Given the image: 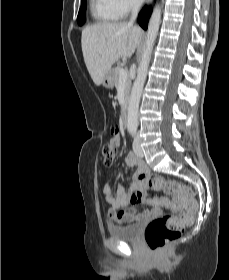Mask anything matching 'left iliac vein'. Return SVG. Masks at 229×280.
<instances>
[{
	"label": "left iliac vein",
	"instance_id": "1",
	"mask_svg": "<svg viewBox=\"0 0 229 280\" xmlns=\"http://www.w3.org/2000/svg\"><path fill=\"white\" fill-rule=\"evenodd\" d=\"M133 150H134V153L139 156V157H142L143 156V150L140 146V142H139V139L138 138H135L134 140V143H133Z\"/></svg>",
	"mask_w": 229,
	"mask_h": 280
}]
</instances>
